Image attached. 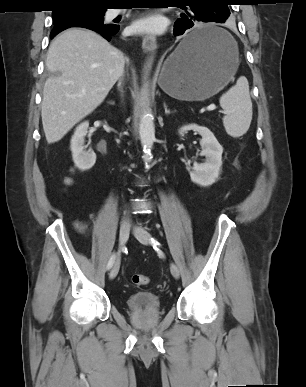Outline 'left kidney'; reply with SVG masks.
Wrapping results in <instances>:
<instances>
[{
    "label": "left kidney",
    "mask_w": 306,
    "mask_h": 387,
    "mask_svg": "<svg viewBox=\"0 0 306 387\" xmlns=\"http://www.w3.org/2000/svg\"><path fill=\"white\" fill-rule=\"evenodd\" d=\"M193 130L201 135V156H205L204 163L193 164L190 172L191 180L200 186L212 185L219 175V170L222 165L223 148L213 135V133L206 127L196 124L186 125L180 128L179 134L184 135L188 131Z\"/></svg>",
    "instance_id": "obj_1"
}]
</instances>
